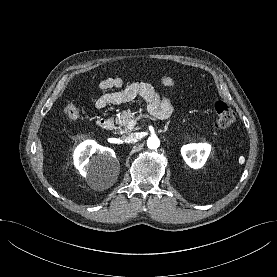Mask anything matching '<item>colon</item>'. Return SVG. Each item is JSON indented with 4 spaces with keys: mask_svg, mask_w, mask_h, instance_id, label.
<instances>
[{
    "mask_svg": "<svg viewBox=\"0 0 277 277\" xmlns=\"http://www.w3.org/2000/svg\"><path fill=\"white\" fill-rule=\"evenodd\" d=\"M216 131L224 130L232 125L235 113L231 107L223 101L216 102L214 106ZM63 114L70 120H76L80 116V106L77 101L69 102L63 109Z\"/></svg>",
    "mask_w": 277,
    "mask_h": 277,
    "instance_id": "1",
    "label": "colon"
}]
</instances>
